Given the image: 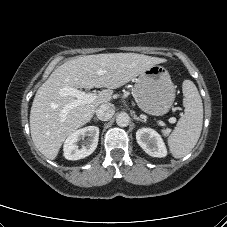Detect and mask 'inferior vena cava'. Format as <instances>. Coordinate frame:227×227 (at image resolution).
Listing matches in <instances>:
<instances>
[{"instance_id": "1", "label": "inferior vena cava", "mask_w": 227, "mask_h": 227, "mask_svg": "<svg viewBox=\"0 0 227 227\" xmlns=\"http://www.w3.org/2000/svg\"><path fill=\"white\" fill-rule=\"evenodd\" d=\"M95 112L98 119L108 121L114 115L115 107L111 103H104L101 104Z\"/></svg>"}]
</instances>
